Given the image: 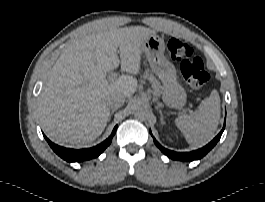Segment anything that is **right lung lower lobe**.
Segmentation results:
<instances>
[{"label": "right lung lower lobe", "mask_w": 265, "mask_h": 202, "mask_svg": "<svg viewBox=\"0 0 265 202\" xmlns=\"http://www.w3.org/2000/svg\"><path fill=\"white\" fill-rule=\"evenodd\" d=\"M116 129L117 126H115V128L113 129L111 136L99 145L94 146L92 148L80 150L58 146L52 143L46 136L44 137L47 140L48 144L51 146V148L54 150V152L58 154L61 158L68 162H81L98 157L110 145L112 138L116 132Z\"/></svg>", "instance_id": "1"}]
</instances>
